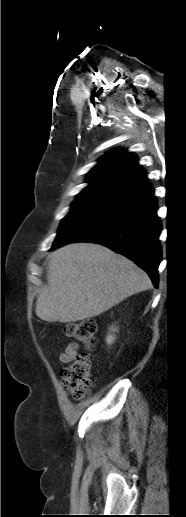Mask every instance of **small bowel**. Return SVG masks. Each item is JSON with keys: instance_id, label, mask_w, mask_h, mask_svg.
<instances>
[{"instance_id": "obj_1", "label": "small bowel", "mask_w": 186, "mask_h": 517, "mask_svg": "<svg viewBox=\"0 0 186 517\" xmlns=\"http://www.w3.org/2000/svg\"><path fill=\"white\" fill-rule=\"evenodd\" d=\"M78 352V345L75 342L69 343L65 350L58 354V360L61 363H69Z\"/></svg>"}]
</instances>
